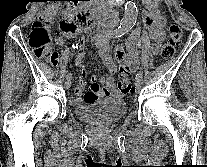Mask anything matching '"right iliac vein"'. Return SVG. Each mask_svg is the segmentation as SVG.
I'll return each instance as SVG.
<instances>
[{
	"instance_id": "63e3f726",
	"label": "right iliac vein",
	"mask_w": 207,
	"mask_h": 167,
	"mask_svg": "<svg viewBox=\"0 0 207 167\" xmlns=\"http://www.w3.org/2000/svg\"><path fill=\"white\" fill-rule=\"evenodd\" d=\"M70 86H71V79H67V80L65 81V88L69 89Z\"/></svg>"
}]
</instances>
